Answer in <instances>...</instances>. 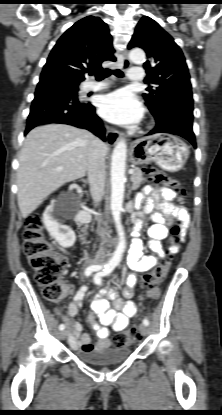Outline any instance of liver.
<instances>
[{"label":"liver","mask_w":222,"mask_h":415,"mask_svg":"<svg viewBox=\"0 0 222 415\" xmlns=\"http://www.w3.org/2000/svg\"><path fill=\"white\" fill-rule=\"evenodd\" d=\"M95 139L90 132L65 124L39 126L28 133L17 171V200L23 218L52 192L85 176Z\"/></svg>","instance_id":"1"}]
</instances>
